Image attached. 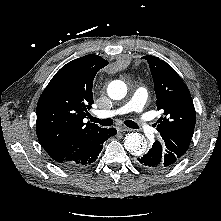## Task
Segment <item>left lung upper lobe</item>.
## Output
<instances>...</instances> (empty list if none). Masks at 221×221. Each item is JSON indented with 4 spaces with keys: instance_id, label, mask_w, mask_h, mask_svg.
Instances as JSON below:
<instances>
[{
    "instance_id": "left-lung-upper-lobe-1",
    "label": "left lung upper lobe",
    "mask_w": 221,
    "mask_h": 221,
    "mask_svg": "<svg viewBox=\"0 0 221 221\" xmlns=\"http://www.w3.org/2000/svg\"><path fill=\"white\" fill-rule=\"evenodd\" d=\"M154 81L157 109L163 116L157 121L160 143L176 164L187 151L196 122L191 94L176 71L163 60L146 55Z\"/></svg>"
}]
</instances>
